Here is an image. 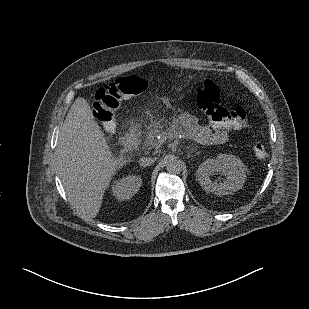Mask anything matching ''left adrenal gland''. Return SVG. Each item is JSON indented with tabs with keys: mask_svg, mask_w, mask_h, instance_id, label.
I'll use <instances>...</instances> for the list:
<instances>
[{
	"mask_svg": "<svg viewBox=\"0 0 309 309\" xmlns=\"http://www.w3.org/2000/svg\"><path fill=\"white\" fill-rule=\"evenodd\" d=\"M190 154H191V152H189V153H188V157H191V155H190Z\"/></svg>",
	"mask_w": 309,
	"mask_h": 309,
	"instance_id": "1",
	"label": "left adrenal gland"
}]
</instances>
